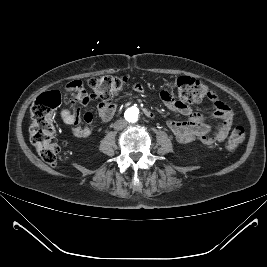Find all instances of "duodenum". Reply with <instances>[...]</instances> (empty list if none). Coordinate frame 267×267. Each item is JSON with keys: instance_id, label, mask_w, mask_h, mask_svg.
Returning <instances> with one entry per match:
<instances>
[{"instance_id": "1", "label": "duodenum", "mask_w": 267, "mask_h": 267, "mask_svg": "<svg viewBox=\"0 0 267 267\" xmlns=\"http://www.w3.org/2000/svg\"><path fill=\"white\" fill-rule=\"evenodd\" d=\"M145 113L148 115V116H152L153 114L150 112V111H148V110H145Z\"/></svg>"}]
</instances>
